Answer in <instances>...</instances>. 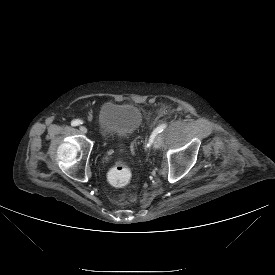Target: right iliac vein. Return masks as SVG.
<instances>
[{
  "label": "right iliac vein",
  "instance_id": "right-iliac-vein-1",
  "mask_svg": "<svg viewBox=\"0 0 275 275\" xmlns=\"http://www.w3.org/2000/svg\"><path fill=\"white\" fill-rule=\"evenodd\" d=\"M79 129L82 133H87V128L85 126H80Z\"/></svg>",
  "mask_w": 275,
  "mask_h": 275
}]
</instances>
